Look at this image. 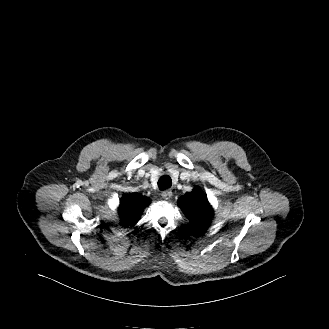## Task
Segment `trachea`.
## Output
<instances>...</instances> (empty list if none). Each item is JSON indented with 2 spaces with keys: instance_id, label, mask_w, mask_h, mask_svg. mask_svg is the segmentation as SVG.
<instances>
[{
  "instance_id": "trachea-1",
  "label": "trachea",
  "mask_w": 329,
  "mask_h": 329,
  "mask_svg": "<svg viewBox=\"0 0 329 329\" xmlns=\"http://www.w3.org/2000/svg\"><path fill=\"white\" fill-rule=\"evenodd\" d=\"M172 185V180L169 176L165 175L162 176L159 180H158V187L160 190H165L167 188H170V186Z\"/></svg>"
}]
</instances>
